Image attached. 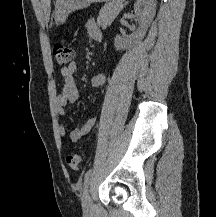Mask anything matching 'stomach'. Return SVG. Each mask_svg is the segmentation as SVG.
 I'll list each match as a JSON object with an SVG mask.
<instances>
[{"instance_id": "obj_1", "label": "stomach", "mask_w": 216, "mask_h": 217, "mask_svg": "<svg viewBox=\"0 0 216 217\" xmlns=\"http://www.w3.org/2000/svg\"><path fill=\"white\" fill-rule=\"evenodd\" d=\"M97 2H108V0H56L54 22L56 25H61L65 23L70 13Z\"/></svg>"}]
</instances>
